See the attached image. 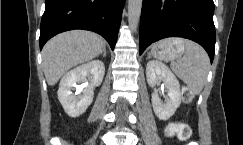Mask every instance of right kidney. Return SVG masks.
Here are the masks:
<instances>
[{"label":"right kidney","mask_w":243,"mask_h":145,"mask_svg":"<svg viewBox=\"0 0 243 145\" xmlns=\"http://www.w3.org/2000/svg\"><path fill=\"white\" fill-rule=\"evenodd\" d=\"M104 73V63L94 60L70 70L62 77L57 94L70 117H78L86 111L93 101L94 88L102 83ZM83 89V94L79 95Z\"/></svg>","instance_id":"obj_1"}]
</instances>
